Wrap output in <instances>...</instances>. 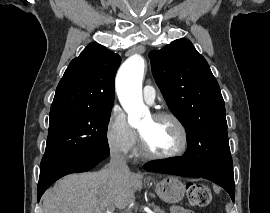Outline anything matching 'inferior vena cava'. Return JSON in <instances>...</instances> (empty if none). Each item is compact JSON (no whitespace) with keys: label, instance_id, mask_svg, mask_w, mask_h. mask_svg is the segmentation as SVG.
Listing matches in <instances>:
<instances>
[{"label":"inferior vena cava","instance_id":"1","mask_svg":"<svg viewBox=\"0 0 270 213\" xmlns=\"http://www.w3.org/2000/svg\"><path fill=\"white\" fill-rule=\"evenodd\" d=\"M109 169L115 174L128 173L129 168L126 164V160L123 156L116 152L111 153V160L109 163Z\"/></svg>","mask_w":270,"mask_h":213}]
</instances>
